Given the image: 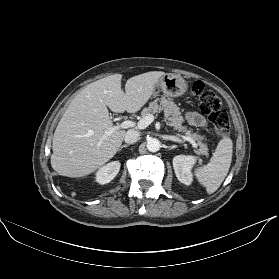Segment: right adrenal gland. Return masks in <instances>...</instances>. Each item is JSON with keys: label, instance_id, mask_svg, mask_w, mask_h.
<instances>
[{"label": "right adrenal gland", "instance_id": "2a0ac1e0", "mask_svg": "<svg viewBox=\"0 0 279 279\" xmlns=\"http://www.w3.org/2000/svg\"><path fill=\"white\" fill-rule=\"evenodd\" d=\"M127 147H129V145H127V144H124V145H122L120 148H119V152L123 149V148H127Z\"/></svg>", "mask_w": 279, "mask_h": 279}]
</instances>
